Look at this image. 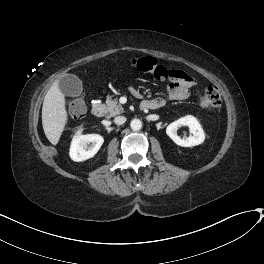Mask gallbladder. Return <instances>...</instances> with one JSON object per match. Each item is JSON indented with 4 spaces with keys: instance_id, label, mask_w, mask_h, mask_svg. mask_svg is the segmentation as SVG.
Instances as JSON below:
<instances>
[{
    "instance_id": "gallbladder-1",
    "label": "gallbladder",
    "mask_w": 264,
    "mask_h": 264,
    "mask_svg": "<svg viewBox=\"0 0 264 264\" xmlns=\"http://www.w3.org/2000/svg\"><path fill=\"white\" fill-rule=\"evenodd\" d=\"M60 90L67 96L78 97L82 93V81L73 74L62 77L59 81Z\"/></svg>"
}]
</instances>
